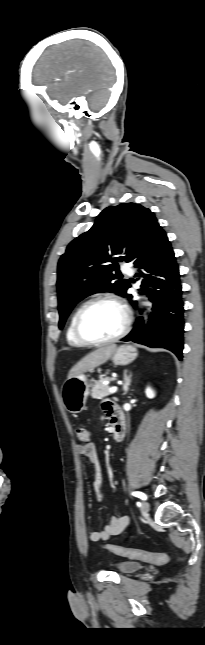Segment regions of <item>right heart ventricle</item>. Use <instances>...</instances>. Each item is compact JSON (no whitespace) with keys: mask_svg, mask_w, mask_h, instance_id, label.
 <instances>
[{"mask_svg":"<svg viewBox=\"0 0 205 645\" xmlns=\"http://www.w3.org/2000/svg\"><path fill=\"white\" fill-rule=\"evenodd\" d=\"M78 309H79V308H78ZM78 309H76V310L72 313V315H71V317H70V320H69V322H68V325H67V329H66V340H67V343H68L70 346H73V347H81V346H83V345H84L81 341H79V339L76 337V335H75V333H74V320H75V316H76V313H77Z\"/></svg>","mask_w":205,"mask_h":645,"instance_id":"right-heart-ventricle-1","label":"right heart ventricle"}]
</instances>
